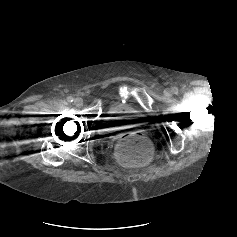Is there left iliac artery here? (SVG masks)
<instances>
[{"instance_id": "44dca946", "label": "left iliac artery", "mask_w": 237, "mask_h": 237, "mask_svg": "<svg viewBox=\"0 0 237 237\" xmlns=\"http://www.w3.org/2000/svg\"><path fill=\"white\" fill-rule=\"evenodd\" d=\"M173 91H174L175 93H177L178 89H177V88H174Z\"/></svg>"}]
</instances>
